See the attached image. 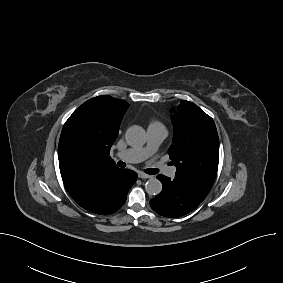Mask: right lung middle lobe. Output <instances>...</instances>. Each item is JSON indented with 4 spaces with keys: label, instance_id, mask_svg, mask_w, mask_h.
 <instances>
[{
    "label": "right lung middle lobe",
    "instance_id": "right-lung-middle-lobe-1",
    "mask_svg": "<svg viewBox=\"0 0 283 283\" xmlns=\"http://www.w3.org/2000/svg\"><path fill=\"white\" fill-rule=\"evenodd\" d=\"M89 136L84 132L83 121L79 114H72L66 121L60 141L71 149L85 147L89 143Z\"/></svg>",
    "mask_w": 283,
    "mask_h": 283
}]
</instances>
